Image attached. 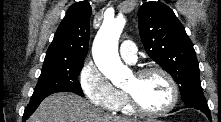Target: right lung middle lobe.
Wrapping results in <instances>:
<instances>
[{"label":"right lung middle lobe","instance_id":"dd1d6c3e","mask_svg":"<svg viewBox=\"0 0 221 122\" xmlns=\"http://www.w3.org/2000/svg\"><path fill=\"white\" fill-rule=\"evenodd\" d=\"M84 61L44 62L41 75L31 100L41 99L50 94L68 91L84 96L77 79Z\"/></svg>","mask_w":221,"mask_h":122}]
</instances>
